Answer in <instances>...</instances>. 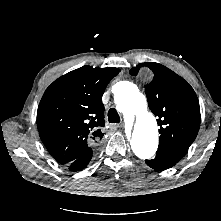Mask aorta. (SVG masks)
<instances>
[{
    "label": "aorta",
    "instance_id": "762f6f07",
    "mask_svg": "<svg viewBox=\"0 0 221 221\" xmlns=\"http://www.w3.org/2000/svg\"><path fill=\"white\" fill-rule=\"evenodd\" d=\"M116 109L126 119L134 121L130 144L140 159H150L158 147V128L155 117L148 112L145 96L131 82H122L115 93Z\"/></svg>",
    "mask_w": 221,
    "mask_h": 221
}]
</instances>
